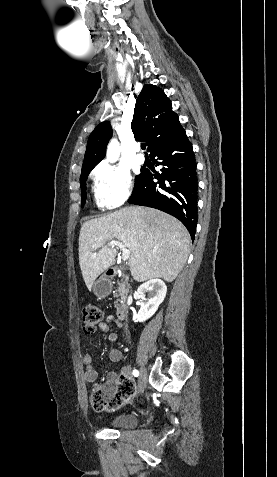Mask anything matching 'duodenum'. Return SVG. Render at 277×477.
<instances>
[{
    "instance_id": "1",
    "label": "duodenum",
    "mask_w": 277,
    "mask_h": 477,
    "mask_svg": "<svg viewBox=\"0 0 277 477\" xmlns=\"http://www.w3.org/2000/svg\"><path fill=\"white\" fill-rule=\"evenodd\" d=\"M120 270L117 269V268H112V269H109L108 272H107V275L110 277V278H113L115 276H117L118 274H120ZM127 314H128V308H127V305L125 303H122L120 304L118 307H117V310H116V316H117V319L120 320V321H123L126 319L127 317Z\"/></svg>"
}]
</instances>
